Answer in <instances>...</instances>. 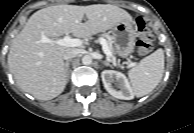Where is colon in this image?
Listing matches in <instances>:
<instances>
[{
  "instance_id": "5ec220e1",
  "label": "colon",
  "mask_w": 194,
  "mask_h": 133,
  "mask_svg": "<svg viewBox=\"0 0 194 133\" xmlns=\"http://www.w3.org/2000/svg\"><path fill=\"white\" fill-rule=\"evenodd\" d=\"M136 30L139 36L136 44L137 53L139 55H146L152 49L153 33L142 17L136 18Z\"/></svg>"
}]
</instances>
